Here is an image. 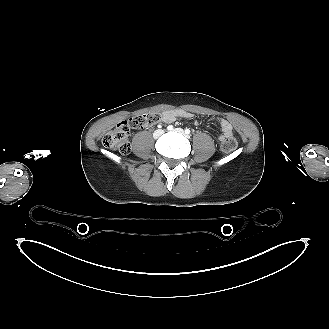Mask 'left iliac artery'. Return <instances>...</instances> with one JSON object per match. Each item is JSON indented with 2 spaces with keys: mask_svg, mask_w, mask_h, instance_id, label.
<instances>
[{
  "mask_svg": "<svg viewBox=\"0 0 329 329\" xmlns=\"http://www.w3.org/2000/svg\"><path fill=\"white\" fill-rule=\"evenodd\" d=\"M185 134L189 135L190 134V130L189 129H185Z\"/></svg>",
  "mask_w": 329,
  "mask_h": 329,
  "instance_id": "left-iliac-artery-1",
  "label": "left iliac artery"
}]
</instances>
